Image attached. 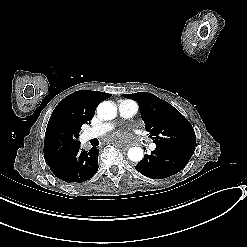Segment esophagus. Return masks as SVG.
<instances>
[{"mask_svg": "<svg viewBox=\"0 0 247 247\" xmlns=\"http://www.w3.org/2000/svg\"><path fill=\"white\" fill-rule=\"evenodd\" d=\"M120 147L122 148V149H128L129 147H130V145H127V144H124V145H120Z\"/></svg>", "mask_w": 247, "mask_h": 247, "instance_id": "obj_1", "label": "esophagus"}]
</instances>
